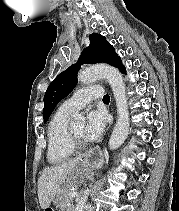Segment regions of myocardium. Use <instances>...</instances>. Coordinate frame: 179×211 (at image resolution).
<instances>
[{
  "label": "myocardium",
  "mask_w": 179,
  "mask_h": 211,
  "mask_svg": "<svg viewBox=\"0 0 179 211\" xmlns=\"http://www.w3.org/2000/svg\"><path fill=\"white\" fill-rule=\"evenodd\" d=\"M69 140L74 150H82L87 147V143L74 133L72 127H69Z\"/></svg>",
  "instance_id": "1"
}]
</instances>
